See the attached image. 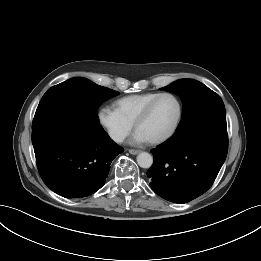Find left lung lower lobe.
I'll use <instances>...</instances> for the list:
<instances>
[{
    "mask_svg": "<svg viewBox=\"0 0 261 261\" xmlns=\"http://www.w3.org/2000/svg\"><path fill=\"white\" fill-rule=\"evenodd\" d=\"M228 151L226 119L175 134L152 149L147 171L151 188L162 198L186 203L205 193L216 179Z\"/></svg>",
    "mask_w": 261,
    "mask_h": 261,
    "instance_id": "0a47b994",
    "label": "left lung lower lobe"
}]
</instances>
